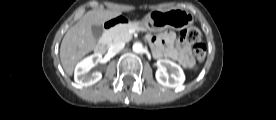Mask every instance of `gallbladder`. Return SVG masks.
<instances>
[{
	"instance_id": "obj_1",
	"label": "gallbladder",
	"mask_w": 276,
	"mask_h": 120,
	"mask_svg": "<svg viewBox=\"0 0 276 120\" xmlns=\"http://www.w3.org/2000/svg\"><path fill=\"white\" fill-rule=\"evenodd\" d=\"M92 33L96 39H100L103 35V27L101 25H93Z\"/></svg>"
}]
</instances>
